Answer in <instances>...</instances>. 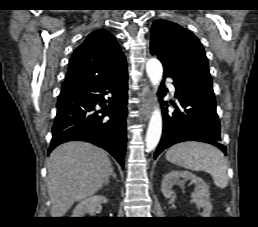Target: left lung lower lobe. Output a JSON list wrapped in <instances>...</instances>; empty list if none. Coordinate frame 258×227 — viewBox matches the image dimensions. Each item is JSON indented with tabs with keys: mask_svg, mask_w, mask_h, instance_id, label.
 <instances>
[{
	"mask_svg": "<svg viewBox=\"0 0 258 227\" xmlns=\"http://www.w3.org/2000/svg\"><path fill=\"white\" fill-rule=\"evenodd\" d=\"M174 80L177 103L176 108L168 113L163 108V134L156 149V158L164 149L183 141H200L212 144L226 154V147L221 141V125L216 113V102L212 86L192 80L164 74V78ZM164 84H162V88ZM162 105L167 102L162 101ZM178 107H181L179 110Z\"/></svg>",
	"mask_w": 258,
	"mask_h": 227,
	"instance_id": "left-lung-lower-lobe-1",
	"label": "left lung lower lobe"
}]
</instances>
